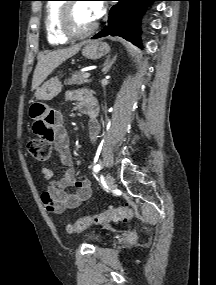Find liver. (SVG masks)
I'll return each mask as SVG.
<instances>
[{
    "mask_svg": "<svg viewBox=\"0 0 216 285\" xmlns=\"http://www.w3.org/2000/svg\"><path fill=\"white\" fill-rule=\"evenodd\" d=\"M82 47V44L73 45L68 48L51 51L45 55H41L36 65L33 80L32 91L37 90L41 83L66 59L72 57Z\"/></svg>",
    "mask_w": 216,
    "mask_h": 285,
    "instance_id": "6515ba94",
    "label": "liver"
}]
</instances>
